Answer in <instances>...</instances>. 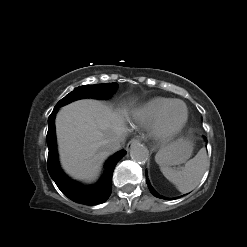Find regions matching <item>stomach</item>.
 Here are the masks:
<instances>
[{
  "label": "stomach",
  "mask_w": 247,
  "mask_h": 247,
  "mask_svg": "<svg viewBox=\"0 0 247 247\" xmlns=\"http://www.w3.org/2000/svg\"><path fill=\"white\" fill-rule=\"evenodd\" d=\"M192 151V140L188 138H181L159 151L160 157L158 162L166 166L179 165L190 158Z\"/></svg>",
  "instance_id": "1"
}]
</instances>
